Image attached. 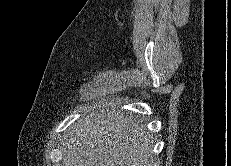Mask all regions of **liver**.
I'll return each instance as SVG.
<instances>
[{"label":"liver","mask_w":231,"mask_h":166,"mask_svg":"<svg viewBox=\"0 0 231 166\" xmlns=\"http://www.w3.org/2000/svg\"><path fill=\"white\" fill-rule=\"evenodd\" d=\"M62 155L63 166H150L152 144L131 117L100 110L68 129Z\"/></svg>","instance_id":"liver-1"}]
</instances>
